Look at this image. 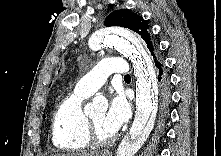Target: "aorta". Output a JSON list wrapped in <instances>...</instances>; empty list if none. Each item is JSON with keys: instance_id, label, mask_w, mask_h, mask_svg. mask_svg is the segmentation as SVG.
Returning <instances> with one entry per match:
<instances>
[{"instance_id": "1", "label": "aorta", "mask_w": 221, "mask_h": 156, "mask_svg": "<svg viewBox=\"0 0 221 156\" xmlns=\"http://www.w3.org/2000/svg\"><path fill=\"white\" fill-rule=\"evenodd\" d=\"M101 44L116 48L133 63L137 92L136 113L129 134L118 152V156H131L143 145L154 126L158 96L156 74L149 55L130 31L110 28L102 34ZM106 108L107 102L95 98L85 106L84 112L91 115L96 109Z\"/></svg>"}]
</instances>
